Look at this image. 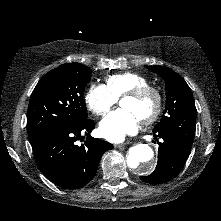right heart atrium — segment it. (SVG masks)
Instances as JSON below:
<instances>
[{
	"instance_id": "right-heart-atrium-1",
	"label": "right heart atrium",
	"mask_w": 221,
	"mask_h": 221,
	"mask_svg": "<svg viewBox=\"0 0 221 221\" xmlns=\"http://www.w3.org/2000/svg\"><path fill=\"white\" fill-rule=\"evenodd\" d=\"M85 102L87 108L95 115H105L117 102L105 85L93 84L89 87Z\"/></svg>"
}]
</instances>
